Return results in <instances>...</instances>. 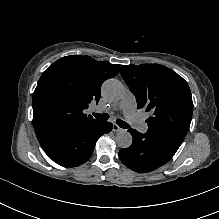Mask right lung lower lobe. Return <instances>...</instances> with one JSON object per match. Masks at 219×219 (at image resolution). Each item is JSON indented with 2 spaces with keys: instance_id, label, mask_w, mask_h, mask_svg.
I'll list each match as a JSON object with an SVG mask.
<instances>
[{
  "instance_id": "98d812e1",
  "label": "right lung lower lobe",
  "mask_w": 219,
  "mask_h": 219,
  "mask_svg": "<svg viewBox=\"0 0 219 219\" xmlns=\"http://www.w3.org/2000/svg\"><path fill=\"white\" fill-rule=\"evenodd\" d=\"M109 122L66 123L35 126L38 141L46 154L56 163L76 167L92 155L96 141L112 130Z\"/></svg>"
}]
</instances>
